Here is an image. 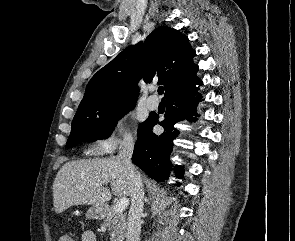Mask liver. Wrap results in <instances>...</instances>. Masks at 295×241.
<instances>
[{"instance_id":"obj_1","label":"liver","mask_w":295,"mask_h":241,"mask_svg":"<svg viewBox=\"0 0 295 241\" xmlns=\"http://www.w3.org/2000/svg\"><path fill=\"white\" fill-rule=\"evenodd\" d=\"M111 184V190L105 187ZM132 184L125 165L117 156L66 162L53 183V204L57 214L73 205H105L112 194L131 196Z\"/></svg>"}]
</instances>
